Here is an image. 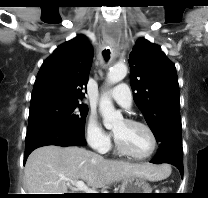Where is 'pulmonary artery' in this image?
Segmentation results:
<instances>
[{"label": "pulmonary artery", "mask_w": 208, "mask_h": 198, "mask_svg": "<svg viewBox=\"0 0 208 198\" xmlns=\"http://www.w3.org/2000/svg\"><path fill=\"white\" fill-rule=\"evenodd\" d=\"M108 97L120 106L130 109L132 105V94L125 83H121L108 92Z\"/></svg>", "instance_id": "pulmonary-artery-1"}]
</instances>
